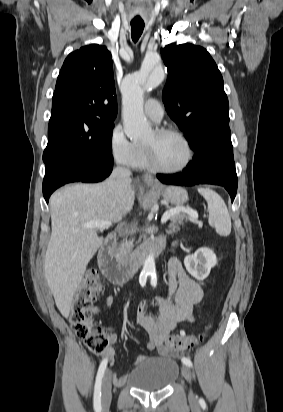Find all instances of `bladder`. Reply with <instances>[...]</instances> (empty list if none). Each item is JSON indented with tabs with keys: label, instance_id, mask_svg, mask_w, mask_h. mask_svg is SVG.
<instances>
[{
	"label": "bladder",
	"instance_id": "31cf9c89",
	"mask_svg": "<svg viewBox=\"0 0 283 412\" xmlns=\"http://www.w3.org/2000/svg\"><path fill=\"white\" fill-rule=\"evenodd\" d=\"M179 370V365L174 360L147 359L129 372L126 380L129 386L139 390L160 391L177 380Z\"/></svg>",
	"mask_w": 283,
	"mask_h": 412
}]
</instances>
